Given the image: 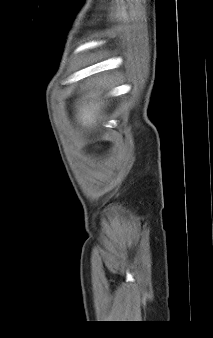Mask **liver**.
<instances>
[{
    "label": "liver",
    "instance_id": "liver-1",
    "mask_svg": "<svg viewBox=\"0 0 213 338\" xmlns=\"http://www.w3.org/2000/svg\"><path fill=\"white\" fill-rule=\"evenodd\" d=\"M95 88L96 89L90 88V91L87 92L80 100H84V102L77 105V122L82 126V128H86L88 130L96 128L98 124L97 122L101 119V112L104 107V101L99 98L103 90H100V85ZM88 99H90L89 103H87Z\"/></svg>",
    "mask_w": 213,
    "mask_h": 338
}]
</instances>
